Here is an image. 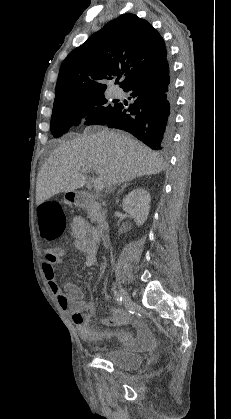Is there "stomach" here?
I'll return each instance as SVG.
<instances>
[{
  "mask_svg": "<svg viewBox=\"0 0 231 419\" xmlns=\"http://www.w3.org/2000/svg\"><path fill=\"white\" fill-rule=\"evenodd\" d=\"M65 200L68 204H74V205L80 204L79 195L75 191L66 192L65 193Z\"/></svg>",
  "mask_w": 231,
  "mask_h": 419,
  "instance_id": "0dacf381",
  "label": "stomach"
}]
</instances>
